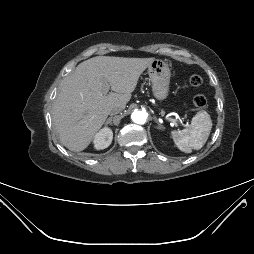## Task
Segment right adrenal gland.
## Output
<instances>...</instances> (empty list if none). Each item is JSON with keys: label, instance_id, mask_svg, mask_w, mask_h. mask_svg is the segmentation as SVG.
I'll use <instances>...</instances> for the list:
<instances>
[{"label": "right adrenal gland", "instance_id": "obj_1", "mask_svg": "<svg viewBox=\"0 0 254 254\" xmlns=\"http://www.w3.org/2000/svg\"><path fill=\"white\" fill-rule=\"evenodd\" d=\"M111 120H112V116L107 119L105 125L111 124Z\"/></svg>", "mask_w": 254, "mask_h": 254}]
</instances>
